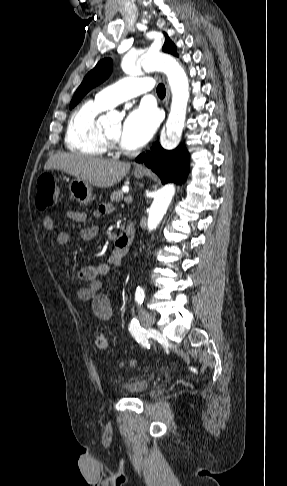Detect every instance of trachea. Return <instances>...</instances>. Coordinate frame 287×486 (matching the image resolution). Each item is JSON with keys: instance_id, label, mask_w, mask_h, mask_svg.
<instances>
[{"instance_id": "obj_1", "label": "trachea", "mask_w": 287, "mask_h": 486, "mask_svg": "<svg viewBox=\"0 0 287 486\" xmlns=\"http://www.w3.org/2000/svg\"><path fill=\"white\" fill-rule=\"evenodd\" d=\"M156 91H157L158 96H161V97H164L165 94H166V89H165V86L163 84H159Z\"/></svg>"}]
</instances>
